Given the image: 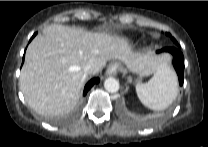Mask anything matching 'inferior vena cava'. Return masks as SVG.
Wrapping results in <instances>:
<instances>
[{"instance_id":"inferior-vena-cava-1","label":"inferior vena cava","mask_w":208,"mask_h":147,"mask_svg":"<svg viewBox=\"0 0 208 147\" xmlns=\"http://www.w3.org/2000/svg\"><path fill=\"white\" fill-rule=\"evenodd\" d=\"M94 71L93 67L91 65H86L84 67V73L87 75V74H92Z\"/></svg>"}]
</instances>
